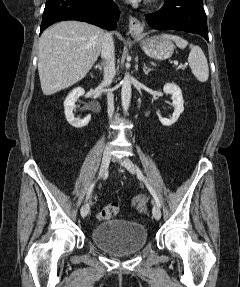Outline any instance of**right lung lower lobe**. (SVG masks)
Segmentation results:
<instances>
[{
  "mask_svg": "<svg viewBox=\"0 0 240 287\" xmlns=\"http://www.w3.org/2000/svg\"><path fill=\"white\" fill-rule=\"evenodd\" d=\"M119 9L113 0H46L40 34L63 20L85 21L101 28H116Z\"/></svg>",
  "mask_w": 240,
  "mask_h": 287,
  "instance_id": "98d812e1",
  "label": "right lung lower lobe"
}]
</instances>
